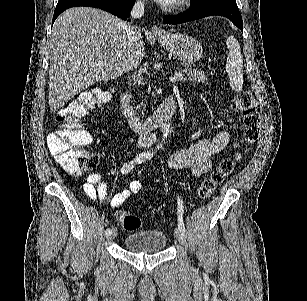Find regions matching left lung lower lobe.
<instances>
[{
  "instance_id": "1",
  "label": "left lung lower lobe",
  "mask_w": 307,
  "mask_h": 301,
  "mask_svg": "<svg viewBox=\"0 0 307 301\" xmlns=\"http://www.w3.org/2000/svg\"><path fill=\"white\" fill-rule=\"evenodd\" d=\"M217 15L230 19L243 32V21L238 7L222 3H210L206 5L190 7V9L183 13L164 16L163 21L166 24H180L201 19L207 16Z\"/></svg>"
}]
</instances>
